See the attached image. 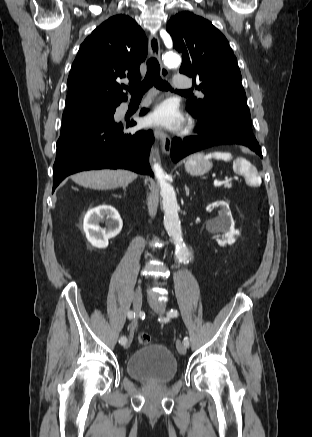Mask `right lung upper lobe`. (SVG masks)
<instances>
[{"mask_svg": "<svg viewBox=\"0 0 312 437\" xmlns=\"http://www.w3.org/2000/svg\"><path fill=\"white\" fill-rule=\"evenodd\" d=\"M146 54L147 38L132 18L120 14L103 22L81 44L72 64L65 110L116 107L126 101L120 80L138 82Z\"/></svg>", "mask_w": 312, "mask_h": 437, "instance_id": "cb5924a9", "label": "right lung upper lobe"}]
</instances>
